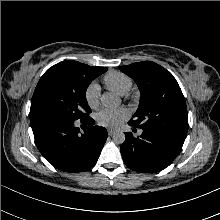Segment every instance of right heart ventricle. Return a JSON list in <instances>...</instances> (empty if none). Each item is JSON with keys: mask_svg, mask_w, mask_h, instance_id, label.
Wrapping results in <instances>:
<instances>
[{"mask_svg": "<svg viewBox=\"0 0 220 220\" xmlns=\"http://www.w3.org/2000/svg\"><path fill=\"white\" fill-rule=\"evenodd\" d=\"M107 88L118 94H126L132 87L131 78L119 71H110L103 77Z\"/></svg>", "mask_w": 220, "mask_h": 220, "instance_id": "obj_1", "label": "right heart ventricle"}]
</instances>
